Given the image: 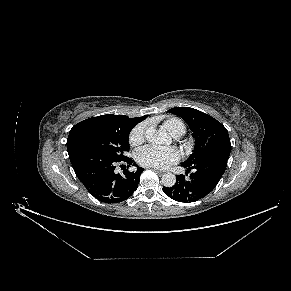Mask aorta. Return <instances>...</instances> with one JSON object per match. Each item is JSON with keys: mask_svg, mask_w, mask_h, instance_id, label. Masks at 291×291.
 I'll use <instances>...</instances> for the list:
<instances>
[{"mask_svg": "<svg viewBox=\"0 0 291 291\" xmlns=\"http://www.w3.org/2000/svg\"><path fill=\"white\" fill-rule=\"evenodd\" d=\"M145 137L148 142L156 145L171 143V137L166 131L156 130L154 127L147 129ZM161 182L165 187H172L176 183V176L173 173H165L162 175Z\"/></svg>", "mask_w": 291, "mask_h": 291, "instance_id": "aorta-1", "label": "aorta"}]
</instances>
